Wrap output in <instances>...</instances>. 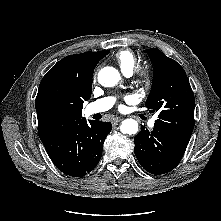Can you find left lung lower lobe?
<instances>
[{
    "label": "left lung lower lobe",
    "instance_id": "obj_1",
    "mask_svg": "<svg viewBox=\"0 0 221 221\" xmlns=\"http://www.w3.org/2000/svg\"><path fill=\"white\" fill-rule=\"evenodd\" d=\"M190 136H183L154 125L152 131L144 126L134 138L135 155L141 166L152 174L173 170L184 155Z\"/></svg>",
    "mask_w": 221,
    "mask_h": 221
}]
</instances>
